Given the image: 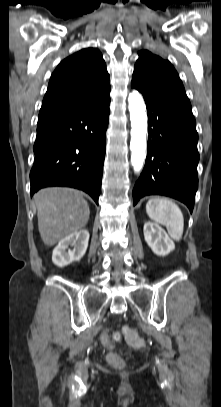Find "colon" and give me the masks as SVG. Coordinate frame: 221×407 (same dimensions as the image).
Segmentation results:
<instances>
[{"instance_id":"1","label":"colon","mask_w":221,"mask_h":407,"mask_svg":"<svg viewBox=\"0 0 221 407\" xmlns=\"http://www.w3.org/2000/svg\"><path fill=\"white\" fill-rule=\"evenodd\" d=\"M122 337L125 338L128 344L135 348L145 349L147 346L145 340L128 326H123L119 331H114L112 333H108L107 331L103 332L101 335V343L107 348H112L115 343L122 339ZM107 359L110 365L115 368H121L124 366L121 356L115 352L109 353Z\"/></svg>"}]
</instances>
